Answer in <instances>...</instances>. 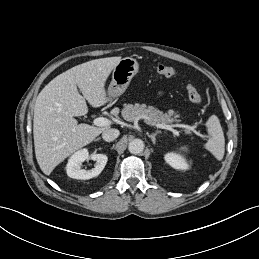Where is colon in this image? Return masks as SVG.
<instances>
[{
    "label": "colon",
    "mask_w": 259,
    "mask_h": 259,
    "mask_svg": "<svg viewBox=\"0 0 259 259\" xmlns=\"http://www.w3.org/2000/svg\"><path fill=\"white\" fill-rule=\"evenodd\" d=\"M156 72L164 77H173L177 75V70L171 66L159 64L156 66ZM187 94L191 102H193L196 105H202L203 104V98L197 89V87L193 84L187 85Z\"/></svg>",
    "instance_id": "5ec220e1"
}]
</instances>
